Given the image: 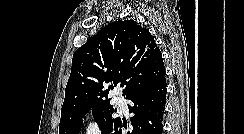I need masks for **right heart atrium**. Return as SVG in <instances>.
I'll return each mask as SVG.
<instances>
[{
  "label": "right heart atrium",
  "instance_id": "right-heart-atrium-1",
  "mask_svg": "<svg viewBox=\"0 0 244 134\" xmlns=\"http://www.w3.org/2000/svg\"><path fill=\"white\" fill-rule=\"evenodd\" d=\"M83 134H102V128L98 121L91 119L84 125Z\"/></svg>",
  "mask_w": 244,
  "mask_h": 134
}]
</instances>
